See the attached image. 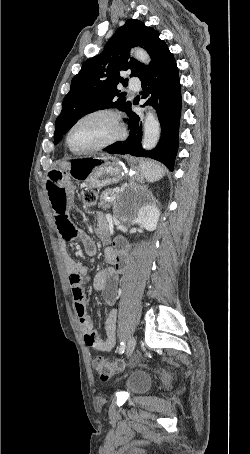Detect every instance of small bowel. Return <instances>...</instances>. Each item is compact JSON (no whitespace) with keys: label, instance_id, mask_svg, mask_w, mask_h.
Listing matches in <instances>:
<instances>
[{"label":"small bowel","instance_id":"1","mask_svg":"<svg viewBox=\"0 0 250 454\" xmlns=\"http://www.w3.org/2000/svg\"><path fill=\"white\" fill-rule=\"evenodd\" d=\"M45 188L54 212L57 229L62 238L65 241H71L79 236L86 254L94 255L97 250L95 242L85 234L78 232L69 217V208L77 191V183L74 178L62 172H51L47 178ZM95 231L103 242H107L108 231L103 216L99 217ZM126 252V244L120 239L115 240L112 245L105 249V260L108 267L99 271L93 279L94 288L102 293L104 300L109 306L114 305L117 301L119 274L125 268ZM64 263L68 272L75 311L85 343L97 351H110L114 347L116 339V310L109 312L105 321L106 335L104 338H99L87 314L84 287L90 279L89 270L66 253H64Z\"/></svg>","mask_w":250,"mask_h":454}]
</instances>
